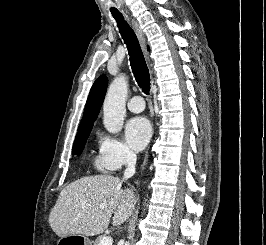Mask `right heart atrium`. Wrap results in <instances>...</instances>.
Instances as JSON below:
<instances>
[{
	"instance_id": "obj_1",
	"label": "right heart atrium",
	"mask_w": 266,
	"mask_h": 245,
	"mask_svg": "<svg viewBox=\"0 0 266 245\" xmlns=\"http://www.w3.org/2000/svg\"><path fill=\"white\" fill-rule=\"evenodd\" d=\"M97 141L100 161L107 170L116 171L133 161V151L117 136L99 131Z\"/></svg>"
}]
</instances>
